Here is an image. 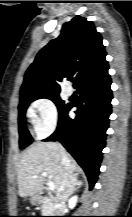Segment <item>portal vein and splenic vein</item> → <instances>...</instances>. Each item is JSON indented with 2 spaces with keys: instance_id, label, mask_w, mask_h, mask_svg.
I'll return each instance as SVG.
<instances>
[{
  "instance_id": "1",
  "label": "portal vein and splenic vein",
  "mask_w": 132,
  "mask_h": 217,
  "mask_svg": "<svg viewBox=\"0 0 132 217\" xmlns=\"http://www.w3.org/2000/svg\"><path fill=\"white\" fill-rule=\"evenodd\" d=\"M42 176L47 177L46 174H42ZM34 177L37 178V176H34ZM48 187H49L50 190H54L55 189V184L52 181H49L48 182Z\"/></svg>"
}]
</instances>
